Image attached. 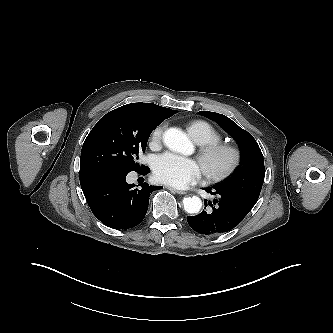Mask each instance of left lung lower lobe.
<instances>
[{"label":"left lung lower lobe","instance_id":"0a47b994","mask_svg":"<svg viewBox=\"0 0 333 333\" xmlns=\"http://www.w3.org/2000/svg\"><path fill=\"white\" fill-rule=\"evenodd\" d=\"M204 189L217 196V199H214V205L212 203L210 205L212 210L187 217L190 227L202 235L212 236L232 230L257 202L247 196L232 194L215 186Z\"/></svg>","mask_w":333,"mask_h":333}]
</instances>
